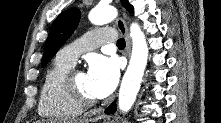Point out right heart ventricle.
<instances>
[{
	"instance_id": "right-heart-ventricle-1",
	"label": "right heart ventricle",
	"mask_w": 221,
	"mask_h": 123,
	"mask_svg": "<svg viewBox=\"0 0 221 123\" xmlns=\"http://www.w3.org/2000/svg\"><path fill=\"white\" fill-rule=\"evenodd\" d=\"M72 67V64L57 56L46 70L38 105L42 117L65 120L82 114L83 108L69 97L64 88L65 75Z\"/></svg>"
}]
</instances>
